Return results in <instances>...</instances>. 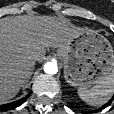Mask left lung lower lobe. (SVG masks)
<instances>
[{
  "label": "left lung lower lobe",
  "instance_id": "0a47b994",
  "mask_svg": "<svg viewBox=\"0 0 114 114\" xmlns=\"http://www.w3.org/2000/svg\"><path fill=\"white\" fill-rule=\"evenodd\" d=\"M113 99H114V96L109 100V102H107L105 105H103L101 108H99V110H103L104 108L108 107L111 104V102L113 101ZM92 112H94V111H92Z\"/></svg>",
  "mask_w": 114,
  "mask_h": 114
}]
</instances>
